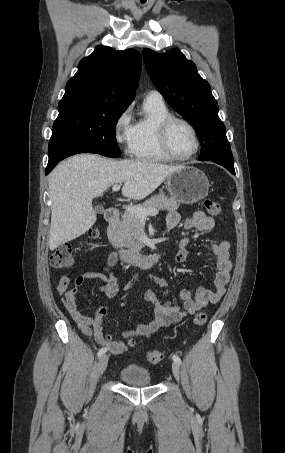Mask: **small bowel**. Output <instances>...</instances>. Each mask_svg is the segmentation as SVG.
Returning <instances> with one entry per match:
<instances>
[{"label":"small bowel","instance_id":"obj_1","mask_svg":"<svg viewBox=\"0 0 285 453\" xmlns=\"http://www.w3.org/2000/svg\"><path fill=\"white\" fill-rule=\"evenodd\" d=\"M180 223V216L176 212H169L166 216V225L169 231L174 230ZM215 222L212 217L207 216L202 211H197L193 216L187 218L184 222L186 230L196 229L202 232H211L214 229ZM189 238H183L179 243V250L175 256V262L181 263L187 260L191 254L186 249ZM211 251L217 260V271L214 278L213 289L199 287L195 294L188 289L183 288L180 291V298L183 301L182 306L174 305L171 301L161 300L156 292L148 289L144 293L145 301L153 310V318L147 323L138 324L134 329L124 330L122 336L126 339L136 337H148L163 327L177 323L187 315H192L200 309L206 307L209 303L218 302L224 295L226 286L230 279L232 262L230 260L229 248L227 241L212 242ZM104 272L90 271L76 278L73 285L70 286V276L64 275L59 279L57 291L62 297L64 305L69 314L81 330V332L90 338H93L102 348L107 349L112 354L118 355L127 350V344L119 339H114L110 334L103 330V319L108 315L110 308L101 307L94 313L93 317L84 316L79 310L76 302V295L80 286L85 282L101 279L104 284L101 290L108 298H114L119 293V285L116 278L111 273V269L117 263V254L111 253L105 258ZM153 281L161 288H166L164 277L151 274L147 278Z\"/></svg>","mask_w":285,"mask_h":453}]
</instances>
